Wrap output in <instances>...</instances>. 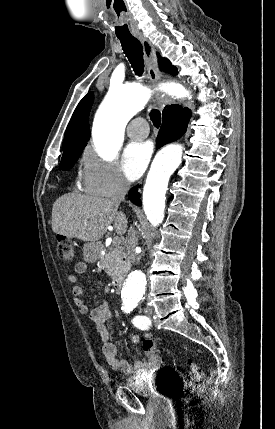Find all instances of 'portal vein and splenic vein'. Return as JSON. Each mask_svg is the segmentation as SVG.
Returning a JSON list of instances; mask_svg holds the SVG:
<instances>
[{
  "mask_svg": "<svg viewBox=\"0 0 275 429\" xmlns=\"http://www.w3.org/2000/svg\"><path fill=\"white\" fill-rule=\"evenodd\" d=\"M120 240L118 239V238H116L114 241H113V243H117V242H119Z\"/></svg>",
  "mask_w": 275,
  "mask_h": 429,
  "instance_id": "18ae733b",
  "label": "portal vein and splenic vein"
}]
</instances>
